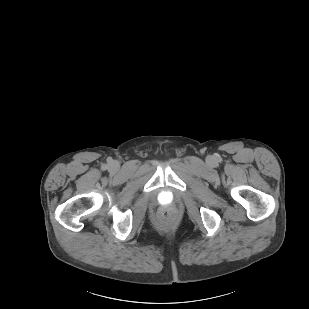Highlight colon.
<instances>
[{
	"instance_id": "5ec220e1",
	"label": "colon",
	"mask_w": 309,
	"mask_h": 309,
	"mask_svg": "<svg viewBox=\"0 0 309 309\" xmlns=\"http://www.w3.org/2000/svg\"><path fill=\"white\" fill-rule=\"evenodd\" d=\"M160 217L163 222H169L173 219V214L171 212L164 211L161 213Z\"/></svg>"
}]
</instances>
